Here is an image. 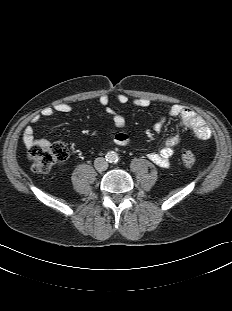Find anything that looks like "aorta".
Returning a JSON list of instances; mask_svg holds the SVG:
<instances>
[{"label":"aorta","instance_id":"aorta-1","mask_svg":"<svg viewBox=\"0 0 232 311\" xmlns=\"http://www.w3.org/2000/svg\"><path fill=\"white\" fill-rule=\"evenodd\" d=\"M106 159L109 161V162H117L118 161V155L116 152L114 151H110L107 153L106 155Z\"/></svg>","mask_w":232,"mask_h":311}]
</instances>
